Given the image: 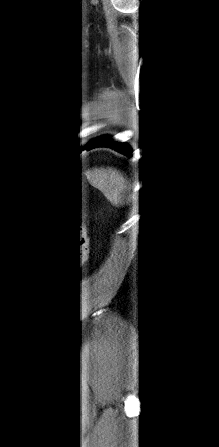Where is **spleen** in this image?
Wrapping results in <instances>:
<instances>
[{
  "label": "spleen",
  "mask_w": 219,
  "mask_h": 447,
  "mask_svg": "<svg viewBox=\"0 0 219 447\" xmlns=\"http://www.w3.org/2000/svg\"><path fill=\"white\" fill-rule=\"evenodd\" d=\"M87 179L113 205L122 204L128 182L119 171L113 168H95L87 172Z\"/></svg>",
  "instance_id": "spleen-1"
}]
</instances>
